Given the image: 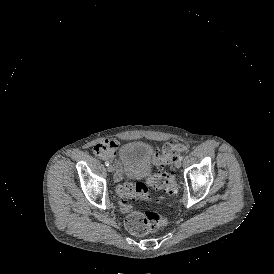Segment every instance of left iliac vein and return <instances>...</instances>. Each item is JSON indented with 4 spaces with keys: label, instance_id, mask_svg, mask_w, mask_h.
I'll list each match as a JSON object with an SVG mask.
<instances>
[{
    "label": "left iliac vein",
    "instance_id": "1",
    "mask_svg": "<svg viewBox=\"0 0 274 274\" xmlns=\"http://www.w3.org/2000/svg\"><path fill=\"white\" fill-rule=\"evenodd\" d=\"M174 166H175L176 168H180V167H181V161H180L179 159L176 160L175 163H174Z\"/></svg>",
    "mask_w": 274,
    "mask_h": 274
}]
</instances>
